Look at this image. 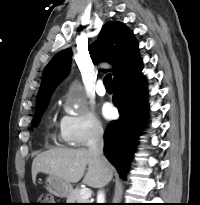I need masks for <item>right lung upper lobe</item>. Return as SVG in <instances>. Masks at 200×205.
<instances>
[{
    "label": "right lung upper lobe",
    "instance_id": "cb5924a9",
    "mask_svg": "<svg viewBox=\"0 0 200 205\" xmlns=\"http://www.w3.org/2000/svg\"><path fill=\"white\" fill-rule=\"evenodd\" d=\"M89 52L94 60L106 61L116 66V70H112L113 81L140 62L138 45L133 33L116 21L103 26L95 45L89 47ZM70 61V49L60 51L51 59L43 73L36 105L50 99L55 87L66 74Z\"/></svg>",
    "mask_w": 200,
    "mask_h": 205
}]
</instances>
